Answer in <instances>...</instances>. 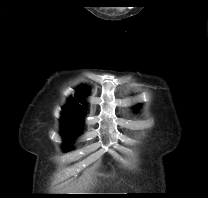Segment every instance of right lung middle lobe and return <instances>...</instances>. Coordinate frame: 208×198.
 <instances>
[{"label":"right lung middle lobe","mask_w":208,"mask_h":198,"mask_svg":"<svg viewBox=\"0 0 208 198\" xmlns=\"http://www.w3.org/2000/svg\"><path fill=\"white\" fill-rule=\"evenodd\" d=\"M81 128V122L61 120V134L65 140V143L63 145L64 150L68 151L72 149L68 142H70L71 139H74L76 136L80 134Z\"/></svg>","instance_id":"obj_1"}]
</instances>
